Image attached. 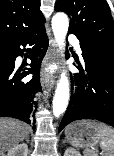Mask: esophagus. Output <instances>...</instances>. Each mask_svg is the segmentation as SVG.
<instances>
[{
  "mask_svg": "<svg viewBox=\"0 0 114 156\" xmlns=\"http://www.w3.org/2000/svg\"><path fill=\"white\" fill-rule=\"evenodd\" d=\"M57 57V45L54 39L50 40L49 48L43 60V69L41 73V85L44 92H50L55 85V77L47 71L48 65Z\"/></svg>",
  "mask_w": 114,
  "mask_h": 156,
  "instance_id": "obj_1",
  "label": "esophagus"
}]
</instances>
